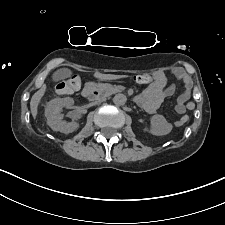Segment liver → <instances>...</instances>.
Instances as JSON below:
<instances>
[{
  "label": "liver",
  "instance_id": "obj_1",
  "mask_svg": "<svg viewBox=\"0 0 225 225\" xmlns=\"http://www.w3.org/2000/svg\"><path fill=\"white\" fill-rule=\"evenodd\" d=\"M94 76L100 80H114V79L120 78V76H117V75L101 74V73H95ZM46 88H47L46 84H43L41 88L36 93H34V95L31 98L30 110H31L32 117L34 119H36L37 117L38 105L46 92Z\"/></svg>",
  "mask_w": 225,
  "mask_h": 225
}]
</instances>
